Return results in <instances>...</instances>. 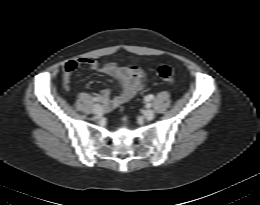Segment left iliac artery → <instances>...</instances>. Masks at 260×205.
Returning a JSON list of instances; mask_svg holds the SVG:
<instances>
[{
    "mask_svg": "<svg viewBox=\"0 0 260 205\" xmlns=\"http://www.w3.org/2000/svg\"><path fill=\"white\" fill-rule=\"evenodd\" d=\"M151 99H153V95H149L147 98H146V101H150ZM148 108H150L151 107V103H147V105H146Z\"/></svg>",
    "mask_w": 260,
    "mask_h": 205,
    "instance_id": "left-iliac-artery-1",
    "label": "left iliac artery"
}]
</instances>
